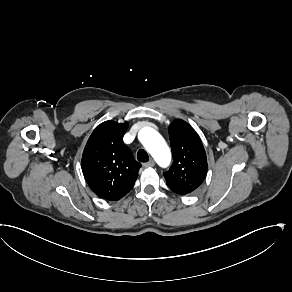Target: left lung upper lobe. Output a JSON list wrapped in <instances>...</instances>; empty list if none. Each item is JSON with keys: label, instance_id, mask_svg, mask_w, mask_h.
<instances>
[{"label": "left lung upper lobe", "instance_id": "obj_1", "mask_svg": "<svg viewBox=\"0 0 292 292\" xmlns=\"http://www.w3.org/2000/svg\"><path fill=\"white\" fill-rule=\"evenodd\" d=\"M169 137L173 164L164 177L173 192L185 195L196 190L206 177V152L198 134L183 120L170 124Z\"/></svg>", "mask_w": 292, "mask_h": 292}]
</instances>
